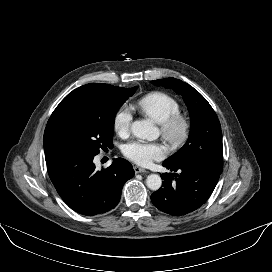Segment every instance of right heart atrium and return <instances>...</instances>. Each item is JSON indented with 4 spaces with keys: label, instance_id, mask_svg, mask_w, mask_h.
<instances>
[{
    "label": "right heart atrium",
    "instance_id": "obj_1",
    "mask_svg": "<svg viewBox=\"0 0 272 272\" xmlns=\"http://www.w3.org/2000/svg\"><path fill=\"white\" fill-rule=\"evenodd\" d=\"M132 114L128 107L120 108L113 119L114 130L120 137H127L131 130Z\"/></svg>",
    "mask_w": 272,
    "mask_h": 272
}]
</instances>
